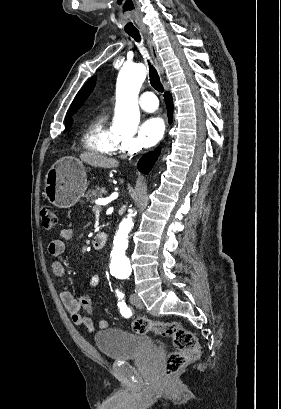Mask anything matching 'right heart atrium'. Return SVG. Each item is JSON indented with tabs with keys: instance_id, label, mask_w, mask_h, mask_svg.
Wrapping results in <instances>:
<instances>
[{
	"instance_id": "d8ad5b80",
	"label": "right heart atrium",
	"mask_w": 281,
	"mask_h": 409,
	"mask_svg": "<svg viewBox=\"0 0 281 409\" xmlns=\"http://www.w3.org/2000/svg\"><path fill=\"white\" fill-rule=\"evenodd\" d=\"M126 147L130 150H138L139 149V145L137 144V142L134 139L131 138H127L124 141Z\"/></svg>"
}]
</instances>
